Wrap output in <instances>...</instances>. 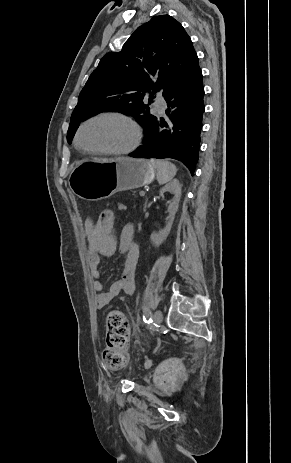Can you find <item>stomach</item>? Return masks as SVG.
Wrapping results in <instances>:
<instances>
[{"label":"stomach","mask_w":291,"mask_h":463,"mask_svg":"<svg viewBox=\"0 0 291 463\" xmlns=\"http://www.w3.org/2000/svg\"><path fill=\"white\" fill-rule=\"evenodd\" d=\"M155 168L143 159H86L71 167L68 183L78 197L98 201L153 181Z\"/></svg>","instance_id":"stomach-1"}]
</instances>
